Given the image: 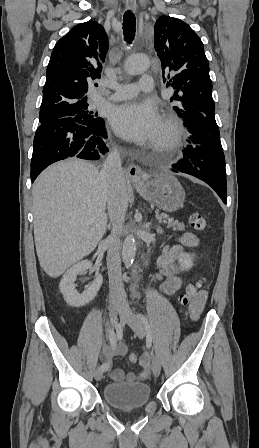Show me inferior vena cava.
I'll return each mask as SVG.
<instances>
[{"label": "inferior vena cava", "instance_id": "inferior-vena-cava-1", "mask_svg": "<svg viewBox=\"0 0 259 448\" xmlns=\"http://www.w3.org/2000/svg\"><path fill=\"white\" fill-rule=\"evenodd\" d=\"M102 188L107 194V206L112 224V234L108 236L106 244L107 266L109 274V288L111 302L126 304V294L122 284L121 272V244L120 238L128 208L127 184L121 166L118 148H113L103 164L99 174Z\"/></svg>", "mask_w": 259, "mask_h": 448}]
</instances>
